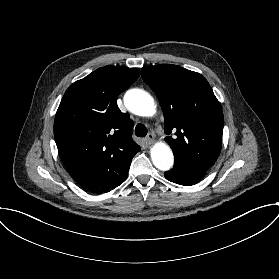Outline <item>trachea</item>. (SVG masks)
<instances>
[{
    "instance_id": "1",
    "label": "trachea",
    "mask_w": 279,
    "mask_h": 279,
    "mask_svg": "<svg viewBox=\"0 0 279 279\" xmlns=\"http://www.w3.org/2000/svg\"><path fill=\"white\" fill-rule=\"evenodd\" d=\"M135 134L138 137H145L147 134V129L143 124H137L135 128Z\"/></svg>"
}]
</instances>
